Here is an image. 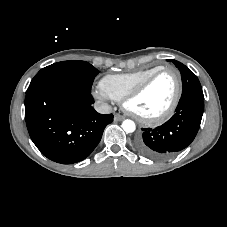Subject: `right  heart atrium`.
Returning <instances> with one entry per match:
<instances>
[{"label":"right heart atrium","instance_id":"right-heart-atrium-1","mask_svg":"<svg viewBox=\"0 0 227 227\" xmlns=\"http://www.w3.org/2000/svg\"><path fill=\"white\" fill-rule=\"evenodd\" d=\"M95 95H96V97H98L99 99H102V100L107 99V97H108L101 89L97 90L95 92Z\"/></svg>","mask_w":227,"mask_h":227}]
</instances>
